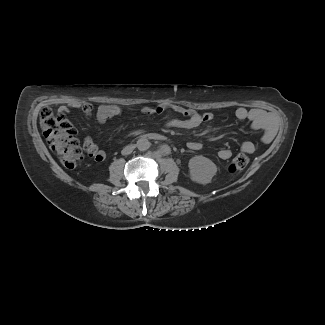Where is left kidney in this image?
Segmentation results:
<instances>
[{
    "instance_id": "1",
    "label": "left kidney",
    "mask_w": 325,
    "mask_h": 325,
    "mask_svg": "<svg viewBox=\"0 0 325 325\" xmlns=\"http://www.w3.org/2000/svg\"><path fill=\"white\" fill-rule=\"evenodd\" d=\"M190 178L199 184H208L217 172V166L208 158L198 155L189 160Z\"/></svg>"
}]
</instances>
